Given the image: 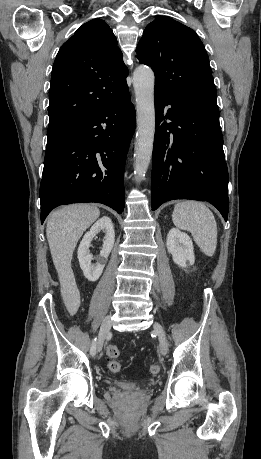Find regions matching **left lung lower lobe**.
Masks as SVG:
<instances>
[{
	"instance_id": "0a47b994",
	"label": "left lung lower lobe",
	"mask_w": 261,
	"mask_h": 459,
	"mask_svg": "<svg viewBox=\"0 0 261 459\" xmlns=\"http://www.w3.org/2000/svg\"><path fill=\"white\" fill-rule=\"evenodd\" d=\"M154 96L152 210L174 199L208 201L227 221L229 179L218 108L187 104L160 91Z\"/></svg>"
}]
</instances>
